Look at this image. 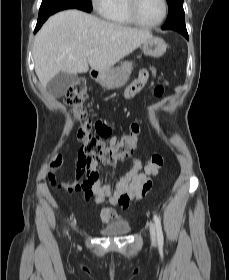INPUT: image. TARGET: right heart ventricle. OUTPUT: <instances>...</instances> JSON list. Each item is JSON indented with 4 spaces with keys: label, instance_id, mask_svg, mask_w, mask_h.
I'll list each match as a JSON object with an SVG mask.
<instances>
[{
    "label": "right heart ventricle",
    "instance_id": "1",
    "mask_svg": "<svg viewBox=\"0 0 229 280\" xmlns=\"http://www.w3.org/2000/svg\"><path fill=\"white\" fill-rule=\"evenodd\" d=\"M104 18L117 26H131L133 22L131 21L127 10L125 0H113V3L109 10L105 13Z\"/></svg>",
    "mask_w": 229,
    "mask_h": 280
}]
</instances>
